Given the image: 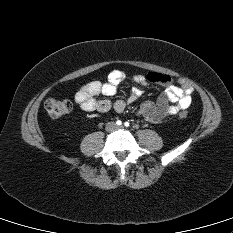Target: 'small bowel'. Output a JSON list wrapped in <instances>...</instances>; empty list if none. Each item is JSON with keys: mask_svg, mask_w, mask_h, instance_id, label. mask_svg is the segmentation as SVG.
I'll return each instance as SVG.
<instances>
[{"mask_svg": "<svg viewBox=\"0 0 233 233\" xmlns=\"http://www.w3.org/2000/svg\"><path fill=\"white\" fill-rule=\"evenodd\" d=\"M124 79L125 74L122 71L113 70L105 82L91 81L79 88L75 94V102L86 112L106 113L113 110L120 113L125 109L126 104L135 102L142 95L140 88H132L126 100L119 99L111 102L107 99L97 100L96 97L98 95L113 96ZM134 81L143 86L155 83L166 87L157 102H143L137 110V115L143 116L152 123H160L167 117L186 110L192 102L193 87L183 78H179L175 83L167 75L149 73L135 75Z\"/></svg>", "mask_w": 233, "mask_h": 233, "instance_id": "obj_1", "label": "small bowel"}]
</instances>
